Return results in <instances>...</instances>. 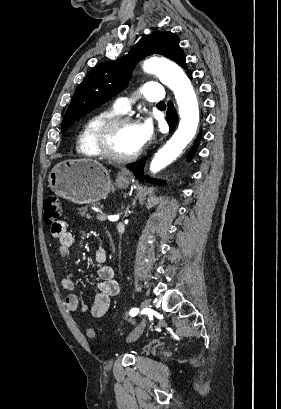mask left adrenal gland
Returning <instances> with one entry per match:
<instances>
[{
    "label": "left adrenal gland",
    "instance_id": "1",
    "mask_svg": "<svg viewBox=\"0 0 281 409\" xmlns=\"http://www.w3.org/2000/svg\"><path fill=\"white\" fill-rule=\"evenodd\" d=\"M128 209H129V207H128ZM128 209H127V211H126L124 217H127V215H128Z\"/></svg>",
    "mask_w": 281,
    "mask_h": 409
}]
</instances>
